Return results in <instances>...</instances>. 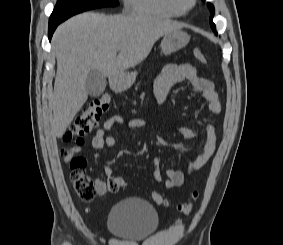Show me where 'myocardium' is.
Wrapping results in <instances>:
<instances>
[{"label":"myocardium","instance_id":"obj_1","mask_svg":"<svg viewBox=\"0 0 283 245\" xmlns=\"http://www.w3.org/2000/svg\"><path fill=\"white\" fill-rule=\"evenodd\" d=\"M179 1H180V7L184 13L191 10L196 3V0H179Z\"/></svg>","mask_w":283,"mask_h":245}]
</instances>
